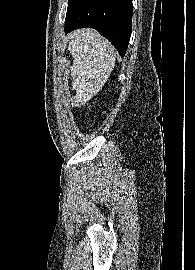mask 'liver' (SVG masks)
Listing matches in <instances>:
<instances>
[{"mask_svg":"<svg viewBox=\"0 0 195 270\" xmlns=\"http://www.w3.org/2000/svg\"><path fill=\"white\" fill-rule=\"evenodd\" d=\"M69 39L68 51L73 58L71 86L76 91L69 102L81 106L101 91L118 57L112 44L93 29L73 31Z\"/></svg>","mask_w":195,"mask_h":270,"instance_id":"6515ba94","label":"liver"}]
</instances>
